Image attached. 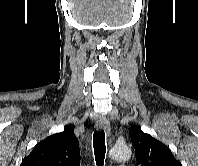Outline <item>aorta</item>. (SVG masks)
<instances>
[{"label":"aorta","instance_id":"1","mask_svg":"<svg viewBox=\"0 0 198 166\" xmlns=\"http://www.w3.org/2000/svg\"><path fill=\"white\" fill-rule=\"evenodd\" d=\"M112 159L117 161H125L131 158L132 152L130 147L126 145H115L109 152Z\"/></svg>","mask_w":198,"mask_h":166}]
</instances>
